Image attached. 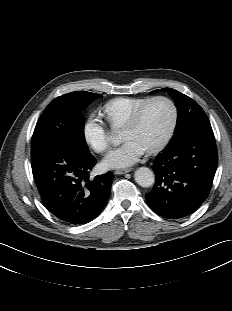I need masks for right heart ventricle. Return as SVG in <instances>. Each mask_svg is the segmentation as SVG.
Listing matches in <instances>:
<instances>
[{
    "label": "right heart ventricle",
    "mask_w": 232,
    "mask_h": 311,
    "mask_svg": "<svg viewBox=\"0 0 232 311\" xmlns=\"http://www.w3.org/2000/svg\"><path fill=\"white\" fill-rule=\"evenodd\" d=\"M150 97H117L108 101L103 111L111 128L121 129L133 113Z\"/></svg>",
    "instance_id": "e07e8e85"
}]
</instances>
